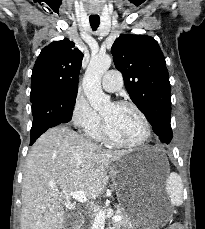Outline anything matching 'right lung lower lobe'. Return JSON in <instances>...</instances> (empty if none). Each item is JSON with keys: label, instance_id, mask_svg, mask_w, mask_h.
<instances>
[{"label": "right lung lower lobe", "instance_id": "obj_1", "mask_svg": "<svg viewBox=\"0 0 205 229\" xmlns=\"http://www.w3.org/2000/svg\"><path fill=\"white\" fill-rule=\"evenodd\" d=\"M75 101L76 99L65 92L48 94L33 101L30 145L48 128L69 122L72 118Z\"/></svg>", "mask_w": 205, "mask_h": 229}]
</instances>
